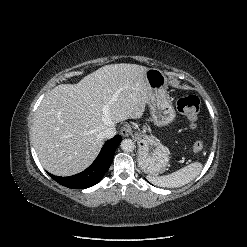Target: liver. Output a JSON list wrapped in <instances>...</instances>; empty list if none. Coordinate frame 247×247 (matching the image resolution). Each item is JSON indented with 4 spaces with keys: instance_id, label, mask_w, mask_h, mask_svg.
Segmentation results:
<instances>
[{
    "instance_id": "obj_1",
    "label": "liver",
    "mask_w": 247,
    "mask_h": 247,
    "mask_svg": "<svg viewBox=\"0 0 247 247\" xmlns=\"http://www.w3.org/2000/svg\"><path fill=\"white\" fill-rule=\"evenodd\" d=\"M148 68L110 64L77 84H60L45 95L33 122V143L42 166L57 176L87 168L102 145L101 133L141 118L149 101Z\"/></svg>"
}]
</instances>
